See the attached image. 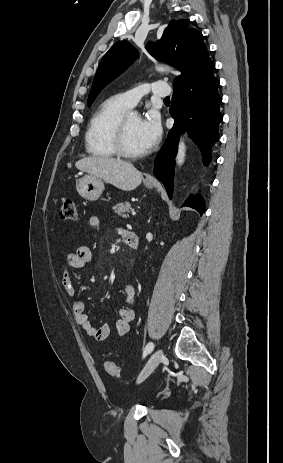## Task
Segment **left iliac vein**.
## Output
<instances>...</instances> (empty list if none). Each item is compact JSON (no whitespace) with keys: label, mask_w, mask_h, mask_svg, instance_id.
<instances>
[{"label":"left iliac vein","mask_w":283,"mask_h":463,"mask_svg":"<svg viewBox=\"0 0 283 463\" xmlns=\"http://www.w3.org/2000/svg\"><path fill=\"white\" fill-rule=\"evenodd\" d=\"M164 354L161 349H158L155 351L152 356L149 358L148 362L142 369L141 373L139 374L137 378V383H141L144 381L153 371L154 369L159 365V363L163 360Z\"/></svg>","instance_id":"1"}]
</instances>
